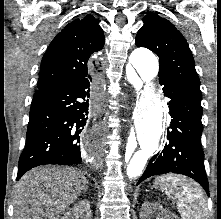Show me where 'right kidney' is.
Listing matches in <instances>:
<instances>
[{"label": "right kidney", "mask_w": 221, "mask_h": 219, "mask_svg": "<svg viewBox=\"0 0 221 219\" xmlns=\"http://www.w3.org/2000/svg\"><path fill=\"white\" fill-rule=\"evenodd\" d=\"M91 219L90 204L87 200H81L74 204L61 219Z\"/></svg>", "instance_id": "1"}]
</instances>
